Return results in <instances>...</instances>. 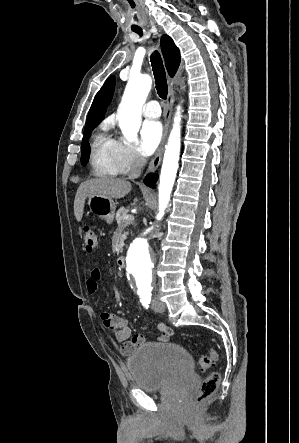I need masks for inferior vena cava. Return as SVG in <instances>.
Listing matches in <instances>:
<instances>
[{
	"label": "inferior vena cava",
	"instance_id": "obj_1",
	"mask_svg": "<svg viewBox=\"0 0 299 443\" xmlns=\"http://www.w3.org/2000/svg\"><path fill=\"white\" fill-rule=\"evenodd\" d=\"M145 163H146V159L143 156L136 155V157L133 161L132 167H131V171L128 175V178L135 179V178L139 177L141 174V170H142L143 166L145 165Z\"/></svg>",
	"mask_w": 299,
	"mask_h": 443
}]
</instances>
